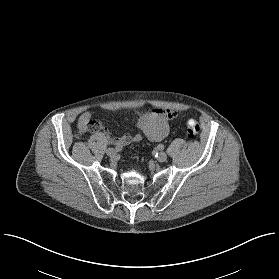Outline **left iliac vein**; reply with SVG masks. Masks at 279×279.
<instances>
[{"instance_id": "4c4485c4", "label": "left iliac vein", "mask_w": 279, "mask_h": 279, "mask_svg": "<svg viewBox=\"0 0 279 279\" xmlns=\"http://www.w3.org/2000/svg\"><path fill=\"white\" fill-rule=\"evenodd\" d=\"M157 160H158L159 162H164V161H166V160H167V154H166L165 152H160V153L158 154Z\"/></svg>"}]
</instances>
